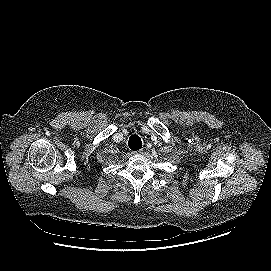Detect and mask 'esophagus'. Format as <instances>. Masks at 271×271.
<instances>
[{"label": "esophagus", "mask_w": 271, "mask_h": 271, "mask_svg": "<svg viewBox=\"0 0 271 271\" xmlns=\"http://www.w3.org/2000/svg\"><path fill=\"white\" fill-rule=\"evenodd\" d=\"M139 153H141L140 150H139V151H133V152H132V154H139Z\"/></svg>", "instance_id": "34e87169"}]
</instances>
